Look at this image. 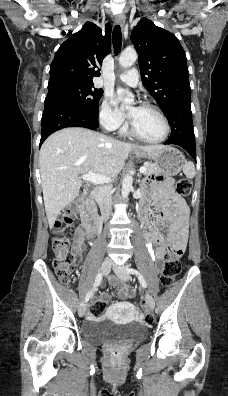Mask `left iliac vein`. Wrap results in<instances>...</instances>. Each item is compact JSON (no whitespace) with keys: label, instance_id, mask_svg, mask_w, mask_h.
<instances>
[{"label":"left iliac vein","instance_id":"1","mask_svg":"<svg viewBox=\"0 0 228 396\" xmlns=\"http://www.w3.org/2000/svg\"><path fill=\"white\" fill-rule=\"evenodd\" d=\"M126 269H127L126 267H117V266L113 267V270L116 273V275L123 281H127L130 279V275L126 271ZM145 298L148 308L153 310L155 306L153 297L149 293H146Z\"/></svg>","mask_w":228,"mask_h":396}]
</instances>
